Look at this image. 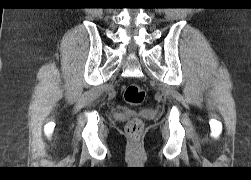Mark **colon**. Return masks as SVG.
<instances>
[{"label":"colon","mask_w":251,"mask_h":180,"mask_svg":"<svg viewBox=\"0 0 251 180\" xmlns=\"http://www.w3.org/2000/svg\"><path fill=\"white\" fill-rule=\"evenodd\" d=\"M145 97V90L136 83H130L124 89V99L132 106H138L142 104L145 100ZM142 128L143 124L141 120L137 117H134L127 122L126 133L132 138H137L140 135Z\"/></svg>","instance_id":"colon-1"}]
</instances>
